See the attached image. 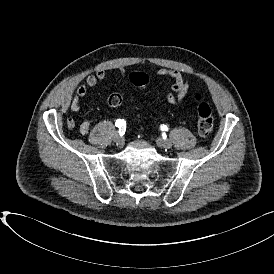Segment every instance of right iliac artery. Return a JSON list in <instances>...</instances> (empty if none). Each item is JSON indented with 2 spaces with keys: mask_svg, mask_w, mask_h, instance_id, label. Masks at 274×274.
Wrapping results in <instances>:
<instances>
[{
  "mask_svg": "<svg viewBox=\"0 0 274 274\" xmlns=\"http://www.w3.org/2000/svg\"><path fill=\"white\" fill-rule=\"evenodd\" d=\"M116 127L119 128V135L123 136L126 131V122L122 119H118L115 123Z\"/></svg>",
  "mask_w": 274,
  "mask_h": 274,
  "instance_id": "82829eb1",
  "label": "right iliac artery"
}]
</instances>
